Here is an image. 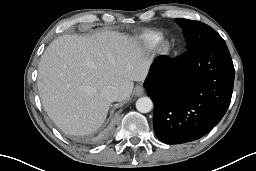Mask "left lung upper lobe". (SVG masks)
I'll return each instance as SVG.
<instances>
[{
	"label": "left lung upper lobe",
	"mask_w": 256,
	"mask_h": 171,
	"mask_svg": "<svg viewBox=\"0 0 256 171\" xmlns=\"http://www.w3.org/2000/svg\"><path fill=\"white\" fill-rule=\"evenodd\" d=\"M176 22L183 29L187 41L186 49L201 44L225 43L222 37L210 26L199 22L183 18H177Z\"/></svg>",
	"instance_id": "5c2ea615"
}]
</instances>
